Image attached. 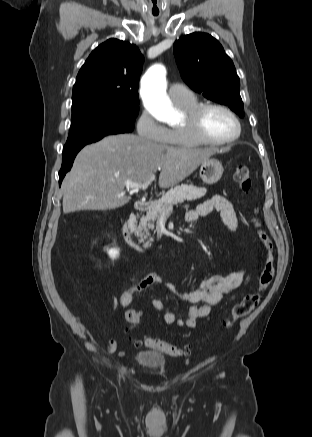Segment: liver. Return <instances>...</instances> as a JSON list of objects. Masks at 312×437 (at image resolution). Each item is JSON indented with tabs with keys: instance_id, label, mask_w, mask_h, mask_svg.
Here are the masks:
<instances>
[{
	"instance_id": "liver-1",
	"label": "liver",
	"mask_w": 312,
	"mask_h": 437,
	"mask_svg": "<svg viewBox=\"0 0 312 437\" xmlns=\"http://www.w3.org/2000/svg\"><path fill=\"white\" fill-rule=\"evenodd\" d=\"M216 149L158 144L133 134L107 136L85 146L62 183L63 211L111 210L127 204L126 180L142 183L160 170L159 187L183 181Z\"/></svg>"
}]
</instances>
